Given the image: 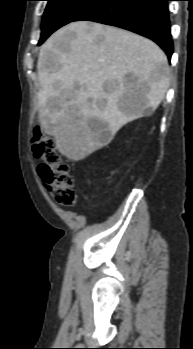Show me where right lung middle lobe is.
Returning a JSON list of instances; mask_svg holds the SVG:
<instances>
[{
    "label": "right lung middle lobe",
    "mask_w": 193,
    "mask_h": 349,
    "mask_svg": "<svg viewBox=\"0 0 193 349\" xmlns=\"http://www.w3.org/2000/svg\"><path fill=\"white\" fill-rule=\"evenodd\" d=\"M42 33L38 45H41L48 36L61 26L73 21L97 0H47Z\"/></svg>",
    "instance_id": "dd1d6c3e"
}]
</instances>
